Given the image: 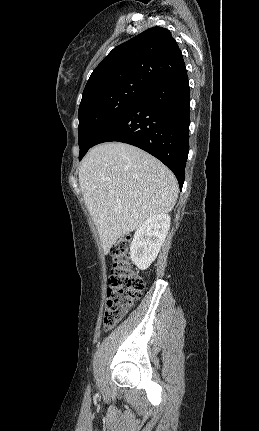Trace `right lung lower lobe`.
Returning <instances> with one entry per match:
<instances>
[{
  "label": "right lung lower lobe",
  "instance_id": "1",
  "mask_svg": "<svg viewBox=\"0 0 259 431\" xmlns=\"http://www.w3.org/2000/svg\"><path fill=\"white\" fill-rule=\"evenodd\" d=\"M190 91L186 70L149 88L96 139L119 141L158 158L175 174L180 189L189 152Z\"/></svg>",
  "mask_w": 259,
  "mask_h": 431
}]
</instances>
